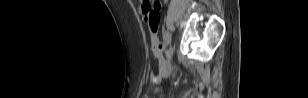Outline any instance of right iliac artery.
Returning a JSON list of instances; mask_svg holds the SVG:
<instances>
[{"label":"right iliac artery","instance_id":"1","mask_svg":"<svg viewBox=\"0 0 308 98\" xmlns=\"http://www.w3.org/2000/svg\"><path fill=\"white\" fill-rule=\"evenodd\" d=\"M164 39L167 44L171 43V35L168 32L164 33Z\"/></svg>","mask_w":308,"mask_h":98}]
</instances>
